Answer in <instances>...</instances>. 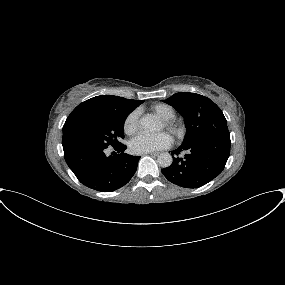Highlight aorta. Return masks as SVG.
Masks as SVG:
<instances>
[{
  "label": "aorta",
  "instance_id": "aorta-1",
  "mask_svg": "<svg viewBox=\"0 0 285 285\" xmlns=\"http://www.w3.org/2000/svg\"><path fill=\"white\" fill-rule=\"evenodd\" d=\"M140 125L146 131L154 132L158 130L157 123L150 117L142 118L140 120ZM172 161V156L167 152L161 153L158 156V164L163 168L169 167L172 164Z\"/></svg>",
  "mask_w": 285,
  "mask_h": 285
}]
</instances>
